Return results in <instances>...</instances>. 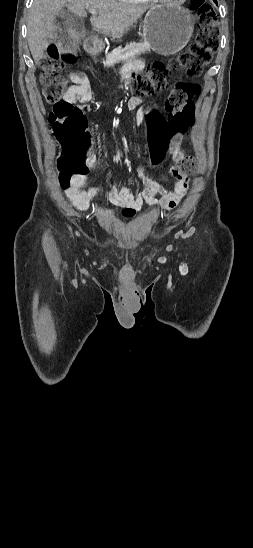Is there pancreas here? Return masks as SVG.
I'll return each instance as SVG.
<instances>
[{"mask_svg":"<svg viewBox=\"0 0 253 548\" xmlns=\"http://www.w3.org/2000/svg\"><path fill=\"white\" fill-rule=\"evenodd\" d=\"M150 52V47L143 43H131L124 48L118 47L106 55L105 67H113L121 61L137 60L141 54Z\"/></svg>","mask_w":253,"mask_h":548,"instance_id":"pancreas-1","label":"pancreas"}]
</instances>
